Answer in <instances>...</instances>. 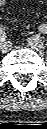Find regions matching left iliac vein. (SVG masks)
<instances>
[{"label":"left iliac vein","mask_w":47,"mask_h":129,"mask_svg":"<svg viewBox=\"0 0 47 129\" xmlns=\"http://www.w3.org/2000/svg\"><path fill=\"white\" fill-rule=\"evenodd\" d=\"M27 41L31 48H33L34 50H37L40 53H43L44 44L39 36L35 35L32 37H29Z\"/></svg>","instance_id":"1"}]
</instances>
